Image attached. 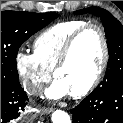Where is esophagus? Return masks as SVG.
I'll return each instance as SVG.
<instances>
[{
    "label": "esophagus",
    "instance_id": "34e87169",
    "mask_svg": "<svg viewBox=\"0 0 123 123\" xmlns=\"http://www.w3.org/2000/svg\"><path fill=\"white\" fill-rule=\"evenodd\" d=\"M41 111L45 114H49L53 112V108H42Z\"/></svg>",
    "mask_w": 123,
    "mask_h": 123
}]
</instances>
